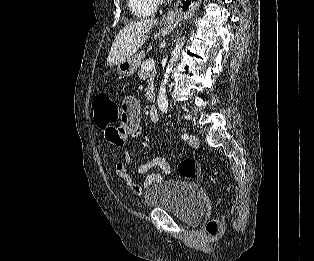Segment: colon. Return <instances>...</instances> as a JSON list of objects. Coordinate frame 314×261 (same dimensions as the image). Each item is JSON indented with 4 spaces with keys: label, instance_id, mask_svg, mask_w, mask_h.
Segmentation results:
<instances>
[{
    "label": "colon",
    "instance_id": "5ec220e1",
    "mask_svg": "<svg viewBox=\"0 0 314 261\" xmlns=\"http://www.w3.org/2000/svg\"><path fill=\"white\" fill-rule=\"evenodd\" d=\"M93 109L94 122L99 128L106 129V126L115 124L119 119L117 103L105 92H99L94 96ZM178 170L183 177L196 179L200 173V166L194 159H184L179 163ZM205 230L210 237H215L220 230V224L217 220H210L206 224Z\"/></svg>",
    "mask_w": 314,
    "mask_h": 261
}]
</instances>
